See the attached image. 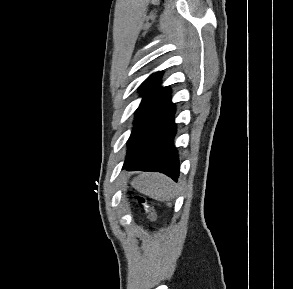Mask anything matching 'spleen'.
Segmentation results:
<instances>
[{"label":"spleen","mask_w":293,"mask_h":289,"mask_svg":"<svg viewBox=\"0 0 293 289\" xmlns=\"http://www.w3.org/2000/svg\"><path fill=\"white\" fill-rule=\"evenodd\" d=\"M132 187L160 201H170L176 195L174 182L158 173H142L131 182Z\"/></svg>","instance_id":"obj_1"}]
</instances>
